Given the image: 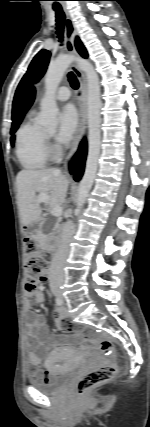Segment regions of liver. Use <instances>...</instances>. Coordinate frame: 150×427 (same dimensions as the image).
<instances>
[{
	"instance_id": "liver-1",
	"label": "liver",
	"mask_w": 150,
	"mask_h": 427,
	"mask_svg": "<svg viewBox=\"0 0 150 427\" xmlns=\"http://www.w3.org/2000/svg\"><path fill=\"white\" fill-rule=\"evenodd\" d=\"M16 181L18 207L25 226L37 223L41 217L36 192L47 194L52 208L61 207L65 202L69 180L58 169L21 170Z\"/></svg>"
}]
</instances>
